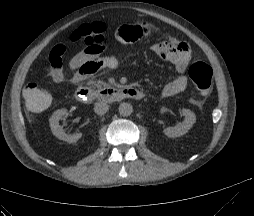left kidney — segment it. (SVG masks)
Listing matches in <instances>:
<instances>
[{
    "label": "left kidney",
    "instance_id": "obj_1",
    "mask_svg": "<svg viewBox=\"0 0 254 216\" xmlns=\"http://www.w3.org/2000/svg\"><path fill=\"white\" fill-rule=\"evenodd\" d=\"M181 112L185 119L182 122L178 123L176 126L168 127L163 130L164 134L169 138L183 136L191 129L193 124L196 122V116L194 112L189 109H182Z\"/></svg>",
    "mask_w": 254,
    "mask_h": 216
}]
</instances>
